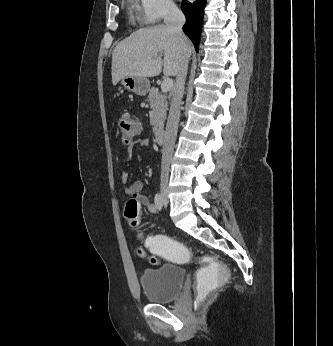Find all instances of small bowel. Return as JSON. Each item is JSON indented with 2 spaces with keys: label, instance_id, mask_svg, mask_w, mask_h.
Here are the masks:
<instances>
[{
  "label": "small bowel",
  "instance_id": "small-bowel-1",
  "mask_svg": "<svg viewBox=\"0 0 333 346\" xmlns=\"http://www.w3.org/2000/svg\"><path fill=\"white\" fill-rule=\"evenodd\" d=\"M149 143L150 141L148 138H139L134 143H132L128 147V151H127L129 160H132L135 147L144 148L148 146ZM129 180H130V173L123 172L122 181L125 184L124 193L127 196L136 198L139 201V203L142 206H144L149 212L155 213L157 211L156 205L151 203L147 196L141 194L142 183L140 181H134L132 183H129Z\"/></svg>",
  "mask_w": 333,
  "mask_h": 346
}]
</instances>
